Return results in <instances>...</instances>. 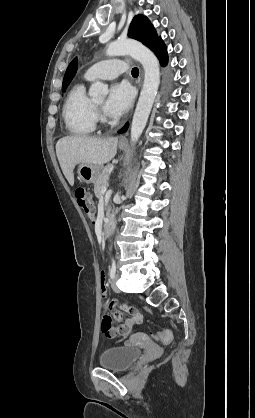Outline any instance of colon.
<instances>
[{
	"label": "colon",
	"instance_id": "obj_1",
	"mask_svg": "<svg viewBox=\"0 0 255 418\" xmlns=\"http://www.w3.org/2000/svg\"><path fill=\"white\" fill-rule=\"evenodd\" d=\"M75 198L88 219L93 222L95 218L94 206L88 191L84 187H78L75 190ZM155 337L164 344H168L172 340V334L167 330L157 333Z\"/></svg>",
	"mask_w": 255,
	"mask_h": 418
}]
</instances>
